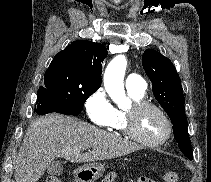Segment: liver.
Segmentation results:
<instances>
[{
    "label": "liver",
    "instance_id": "liver-1",
    "mask_svg": "<svg viewBox=\"0 0 211 182\" xmlns=\"http://www.w3.org/2000/svg\"><path fill=\"white\" fill-rule=\"evenodd\" d=\"M92 148L82 153V149ZM139 147L74 117L57 113L33 121L14 163L15 182H37L56 158L73 163L127 155Z\"/></svg>",
    "mask_w": 211,
    "mask_h": 182
}]
</instances>
